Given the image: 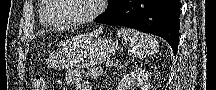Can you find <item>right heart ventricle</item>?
Masks as SVG:
<instances>
[{
    "label": "right heart ventricle",
    "mask_w": 216,
    "mask_h": 90,
    "mask_svg": "<svg viewBox=\"0 0 216 90\" xmlns=\"http://www.w3.org/2000/svg\"><path fill=\"white\" fill-rule=\"evenodd\" d=\"M53 2H40V6H46V7H40V14H49V7H52ZM41 25L45 29H48L47 25L41 20Z\"/></svg>",
    "instance_id": "right-heart-ventricle-1"
}]
</instances>
